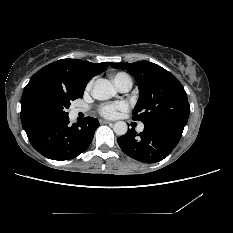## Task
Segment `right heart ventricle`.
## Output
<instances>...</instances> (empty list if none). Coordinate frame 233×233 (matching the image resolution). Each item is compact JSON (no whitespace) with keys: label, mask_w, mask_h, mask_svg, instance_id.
Returning a JSON list of instances; mask_svg holds the SVG:
<instances>
[{"label":"right heart ventricle","mask_w":233,"mask_h":233,"mask_svg":"<svg viewBox=\"0 0 233 233\" xmlns=\"http://www.w3.org/2000/svg\"><path fill=\"white\" fill-rule=\"evenodd\" d=\"M125 79H129V77L124 74V73H117L113 76V81L115 83V85L117 87H119V85L125 80Z\"/></svg>","instance_id":"1"}]
</instances>
